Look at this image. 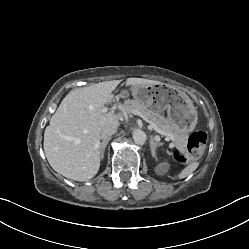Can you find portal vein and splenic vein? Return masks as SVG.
<instances>
[{
  "mask_svg": "<svg viewBox=\"0 0 249 249\" xmlns=\"http://www.w3.org/2000/svg\"><path fill=\"white\" fill-rule=\"evenodd\" d=\"M132 113L135 114V115H137V116H139V117H141L144 121H146L147 123H149V124H150V125H149V129H150V130H155V131H157L159 134L164 135V136H167V135H168L166 132H164V131H162L161 129H159V128L156 126V124H154L152 121H150V120H149L147 117H145L141 112H139V111H137V110H133ZM116 116H117V118L122 119V116H121L120 114H119V115H116ZM156 139H157V140H160V137H159V136H156ZM169 140L174 141V139H173L172 136L169 137Z\"/></svg>",
  "mask_w": 249,
  "mask_h": 249,
  "instance_id": "obj_1",
  "label": "portal vein and splenic vein"
}]
</instances>
